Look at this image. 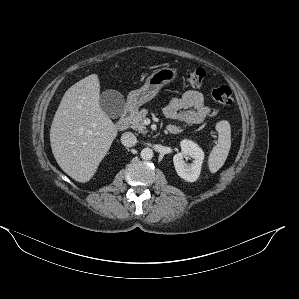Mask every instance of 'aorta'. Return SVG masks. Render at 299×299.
I'll list each match as a JSON object with an SVG mask.
<instances>
[{
  "label": "aorta",
  "instance_id": "aorta-1",
  "mask_svg": "<svg viewBox=\"0 0 299 299\" xmlns=\"http://www.w3.org/2000/svg\"><path fill=\"white\" fill-rule=\"evenodd\" d=\"M140 156L143 160H151L153 158V151L150 148H143Z\"/></svg>",
  "mask_w": 299,
  "mask_h": 299
}]
</instances>
